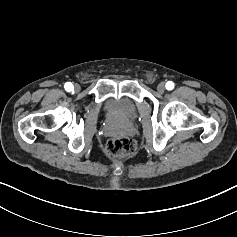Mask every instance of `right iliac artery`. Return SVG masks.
Returning a JSON list of instances; mask_svg holds the SVG:
<instances>
[{
    "label": "right iliac artery",
    "mask_w": 237,
    "mask_h": 237,
    "mask_svg": "<svg viewBox=\"0 0 237 237\" xmlns=\"http://www.w3.org/2000/svg\"><path fill=\"white\" fill-rule=\"evenodd\" d=\"M64 88L67 92H70L74 89V86L71 82H67V83H65Z\"/></svg>",
    "instance_id": "82829eb1"
}]
</instances>
